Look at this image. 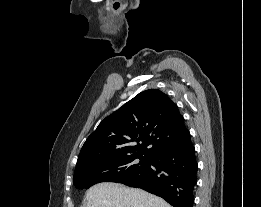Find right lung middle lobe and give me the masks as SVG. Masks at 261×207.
Returning a JSON list of instances; mask_svg holds the SVG:
<instances>
[{
  "label": "right lung middle lobe",
  "mask_w": 261,
  "mask_h": 207,
  "mask_svg": "<svg viewBox=\"0 0 261 207\" xmlns=\"http://www.w3.org/2000/svg\"><path fill=\"white\" fill-rule=\"evenodd\" d=\"M149 161L148 156L133 154L86 164L75 169L73 183L78 189H87L100 182H119L145 169Z\"/></svg>",
  "instance_id": "obj_1"
}]
</instances>
